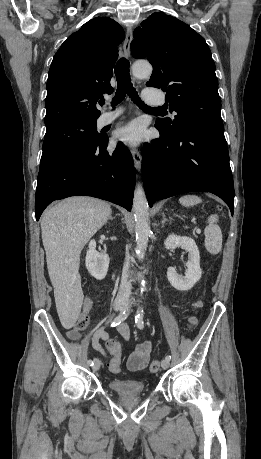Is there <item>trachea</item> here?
Returning <instances> with one entry per match:
<instances>
[{"label":"trachea","instance_id":"trachea-1","mask_svg":"<svg viewBox=\"0 0 261 459\" xmlns=\"http://www.w3.org/2000/svg\"><path fill=\"white\" fill-rule=\"evenodd\" d=\"M130 63L127 59L121 58L115 67V75L117 79V90L115 97L112 100V106L119 104L124 97L127 95L130 96L132 101L137 104V106L143 110L147 111H160L161 108H152L144 104L138 96L137 91L131 83L130 73H129ZM105 101H101L100 104L103 105Z\"/></svg>","mask_w":261,"mask_h":459}]
</instances>
